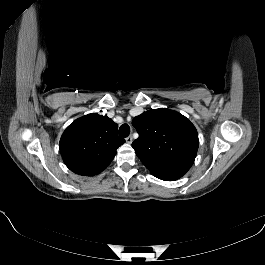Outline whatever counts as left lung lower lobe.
I'll return each instance as SVG.
<instances>
[{
    "label": "left lung lower lobe",
    "mask_w": 265,
    "mask_h": 265,
    "mask_svg": "<svg viewBox=\"0 0 265 265\" xmlns=\"http://www.w3.org/2000/svg\"><path fill=\"white\" fill-rule=\"evenodd\" d=\"M194 161H182L161 167H152L150 172L157 178L165 181H174L181 178L192 166Z\"/></svg>",
    "instance_id": "0a47b994"
}]
</instances>
